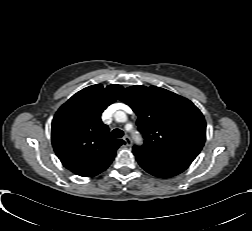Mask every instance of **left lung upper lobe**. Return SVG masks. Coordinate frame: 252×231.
<instances>
[{"mask_svg": "<svg viewBox=\"0 0 252 231\" xmlns=\"http://www.w3.org/2000/svg\"><path fill=\"white\" fill-rule=\"evenodd\" d=\"M120 100L137 114L143 146L133 152L154 156H177L194 160L205 143L206 122L188 99L166 89L131 86Z\"/></svg>", "mask_w": 252, "mask_h": 231, "instance_id": "5c2ea615", "label": "left lung upper lobe"}]
</instances>
